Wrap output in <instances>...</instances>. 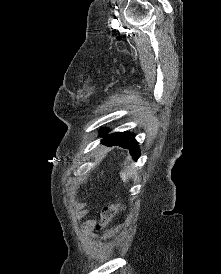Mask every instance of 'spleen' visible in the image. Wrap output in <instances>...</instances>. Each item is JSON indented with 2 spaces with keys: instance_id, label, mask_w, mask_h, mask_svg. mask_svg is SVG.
<instances>
[{
  "instance_id": "1",
  "label": "spleen",
  "mask_w": 221,
  "mask_h": 274,
  "mask_svg": "<svg viewBox=\"0 0 221 274\" xmlns=\"http://www.w3.org/2000/svg\"><path fill=\"white\" fill-rule=\"evenodd\" d=\"M121 178L123 180V182H126L127 181V175L125 173H121Z\"/></svg>"
}]
</instances>
